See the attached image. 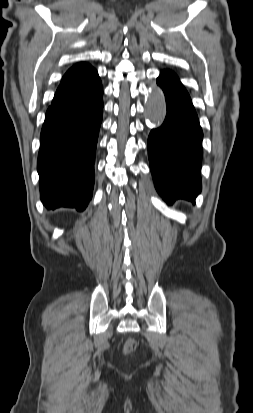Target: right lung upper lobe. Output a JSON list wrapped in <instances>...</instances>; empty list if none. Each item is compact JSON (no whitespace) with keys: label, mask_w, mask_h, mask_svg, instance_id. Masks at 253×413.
<instances>
[{"label":"right lung upper lobe","mask_w":253,"mask_h":413,"mask_svg":"<svg viewBox=\"0 0 253 413\" xmlns=\"http://www.w3.org/2000/svg\"><path fill=\"white\" fill-rule=\"evenodd\" d=\"M100 82L97 71L91 65L84 62L78 63L63 76L52 105L77 98L91 91Z\"/></svg>","instance_id":"obj_1"}]
</instances>
